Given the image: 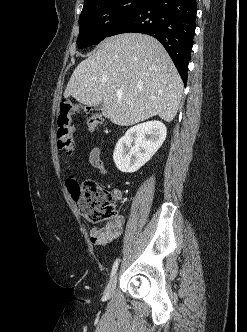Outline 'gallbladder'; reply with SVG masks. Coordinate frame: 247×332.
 <instances>
[{
  "mask_svg": "<svg viewBox=\"0 0 247 332\" xmlns=\"http://www.w3.org/2000/svg\"><path fill=\"white\" fill-rule=\"evenodd\" d=\"M102 106H103V104H102V102H101V103H99V104L95 107V109H96V110H101V109H102Z\"/></svg>",
  "mask_w": 247,
  "mask_h": 332,
  "instance_id": "gallbladder-1",
  "label": "gallbladder"
}]
</instances>
